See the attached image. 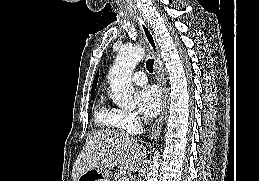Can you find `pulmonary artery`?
Instances as JSON below:
<instances>
[{"label": "pulmonary artery", "instance_id": "pulmonary-artery-1", "mask_svg": "<svg viewBox=\"0 0 259 181\" xmlns=\"http://www.w3.org/2000/svg\"><path fill=\"white\" fill-rule=\"evenodd\" d=\"M132 81L137 85H144L147 83L146 74L143 71H138L133 75Z\"/></svg>", "mask_w": 259, "mask_h": 181}]
</instances>
